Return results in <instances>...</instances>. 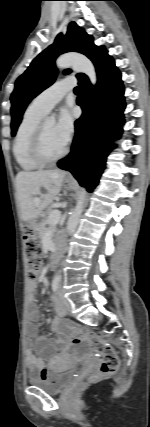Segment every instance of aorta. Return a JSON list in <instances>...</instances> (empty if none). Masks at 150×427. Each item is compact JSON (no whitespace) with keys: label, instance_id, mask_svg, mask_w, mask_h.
<instances>
[{"label":"aorta","instance_id":"aorta-1","mask_svg":"<svg viewBox=\"0 0 150 427\" xmlns=\"http://www.w3.org/2000/svg\"><path fill=\"white\" fill-rule=\"evenodd\" d=\"M56 66L58 69H65L72 67L75 71L84 73L88 76L90 82L95 85L97 82V75L93 63L84 55L78 53H69L61 55L56 60ZM56 123L54 116H50L45 120V124L52 126ZM85 189H82L79 193L77 204L72 214L70 215L67 222V233L72 234L76 230L81 213L83 210V204L85 200ZM58 280L61 279V275H57Z\"/></svg>","mask_w":150,"mask_h":427}]
</instances>
